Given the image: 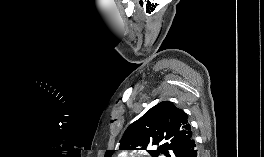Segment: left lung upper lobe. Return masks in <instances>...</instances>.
<instances>
[{"instance_id": "obj_1", "label": "left lung upper lobe", "mask_w": 264, "mask_h": 157, "mask_svg": "<svg viewBox=\"0 0 264 157\" xmlns=\"http://www.w3.org/2000/svg\"><path fill=\"white\" fill-rule=\"evenodd\" d=\"M193 139L187 114L170 101H163L148 110L125 131L120 150H147L152 157H182L186 145ZM107 150L104 157H111Z\"/></svg>"}]
</instances>
